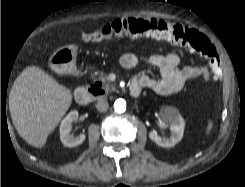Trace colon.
I'll list each match as a JSON object with an SVG mask.
<instances>
[{"mask_svg": "<svg viewBox=\"0 0 245 187\" xmlns=\"http://www.w3.org/2000/svg\"><path fill=\"white\" fill-rule=\"evenodd\" d=\"M141 36L164 39L198 52L207 59L213 72L220 75V60L215 46L199 30L182 23L156 18H119L93 32L81 33L79 39L86 43H102Z\"/></svg>", "mask_w": 245, "mask_h": 187, "instance_id": "5ec220e1", "label": "colon"}]
</instances>
